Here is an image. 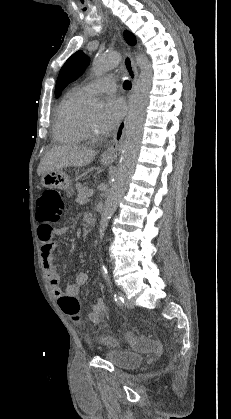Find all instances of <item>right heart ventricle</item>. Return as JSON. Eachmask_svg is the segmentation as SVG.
<instances>
[{
    "label": "right heart ventricle",
    "mask_w": 231,
    "mask_h": 419,
    "mask_svg": "<svg viewBox=\"0 0 231 419\" xmlns=\"http://www.w3.org/2000/svg\"><path fill=\"white\" fill-rule=\"evenodd\" d=\"M86 96L80 89L72 90L58 105L53 123V136L58 142L80 144L86 140L81 128Z\"/></svg>",
    "instance_id": "e07e8e85"
}]
</instances>
